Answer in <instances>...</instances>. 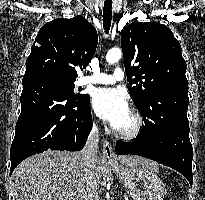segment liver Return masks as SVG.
Wrapping results in <instances>:
<instances>
[{
	"label": "liver",
	"instance_id": "1",
	"mask_svg": "<svg viewBox=\"0 0 205 200\" xmlns=\"http://www.w3.org/2000/svg\"><path fill=\"white\" fill-rule=\"evenodd\" d=\"M124 165H146L156 168V163L139 156L120 155ZM104 162L95 158L93 175L100 182ZM12 194L15 200H83L85 186L80 152L46 151L22 161L12 176Z\"/></svg>",
	"mask_w": 205,
	"mask_h": 200
}]
</instances>
